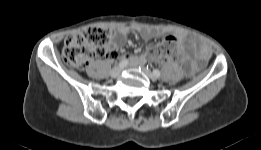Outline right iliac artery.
Segmentation results:
<instances>
[{
	"mask_svg": "<svg viewBox=\"0 0 261 150\" xmlns=\"http://www.w3.org/2000/svg\"><path fill=\"white\" fill-rule=\"evenodd\" d=\"M128 64V60H122L120 63H119V67L123 68L125 66H127Z\"/></svg>",
	"mask_w": 261,
	"mask_h": 150,
	"instance_id": "obj_1",
	"label": "right iliac artery"
}]
</instances>
